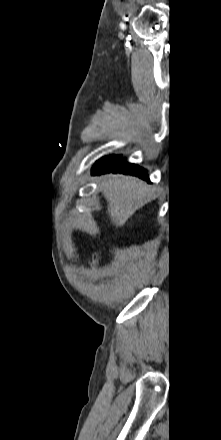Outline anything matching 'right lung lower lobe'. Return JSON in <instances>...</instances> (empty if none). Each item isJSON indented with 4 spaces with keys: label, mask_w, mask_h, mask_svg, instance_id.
<instances>
[{
    "label": "right lung lower lobe",
    "mask_w": 221,
    "mask_h": 440,
    "mask_svg": "<svg viewBox=\"0 0 221 440\" xmlns=\"http://www.w3.org/2000/svg\"><path fill=\"white\" fill-rule=\"evenodd\" d=\"M107 172L130 174L145 180H149L146 170L138 165L125 162L122 156L113 155L103 157L92 167V174L94 175H100Z\"/></svg>",
    "instance_id": "obj_1"
}]
</instances>
